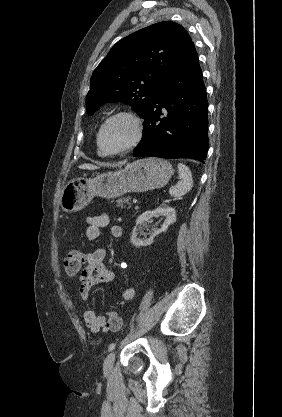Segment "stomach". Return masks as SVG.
I'll return each instance as SVG.
<instances>
[{
  "instance_id": "obj_1",
  "label": "stomach",
  "mask_w": 282,
  "mask_h": 417,
  "mask_svg": "<svg viewBox=\"0 0 282 417\" xmlns=\"http://www.w3.org/2000/svg\"><path fill=\"white\" fill-rule=\"evenodd\" d=\"M173 168L163 158H139L115 172L96 174L94 178H73L61 194V209L66 213L82 211L93 196L115 198L125 192H144L167 184Z\"/></svg>"
}]
</instances>
